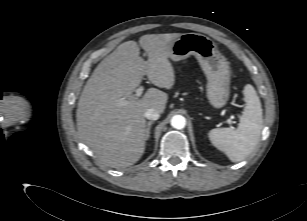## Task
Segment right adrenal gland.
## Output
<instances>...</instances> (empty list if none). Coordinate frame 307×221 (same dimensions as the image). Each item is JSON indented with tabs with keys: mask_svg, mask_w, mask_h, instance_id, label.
I'll list each match as a JSON object with an SVG mask.
<instances>
[{
	"mask_svg": "<svg viewBox=\"0 0 307 221\" xmlns=\"http://www.w3.org/2000/svg\"><path fill=\"white\" fill-rule=\"evenodd\" d=\"M152 123H153L152 121L147 123L145 140H148L150 138V129H151Z\"/></svg>",
	"mask_w": 307,
	"mask_h": 221,
	"instance_id": "right-adrenal-gland-1",
	"label": "right adrenal gland"
}]
</instances>
